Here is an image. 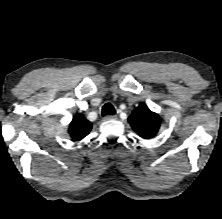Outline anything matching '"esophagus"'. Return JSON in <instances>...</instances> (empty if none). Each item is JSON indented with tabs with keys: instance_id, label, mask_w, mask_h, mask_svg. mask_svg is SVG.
Returning a JSON list of instances; mask_svg holds the SVG:
<instances>
[{
	"instance_id": "34e87169",
	"label": "esophagus",
	"mask_w": 222,
	"mask_h": 219,
	"mask_svg": "<svg viewBox=\"0 0 222 219\" xmlns=\"http://www.w3.org/2000/svg\"><path fill=\"white\" fill-rule=\"evenodd\" d=\"M115 119H117L116 115H108L104 117V120H115Z\"/></svg>"
}]
</instances>
